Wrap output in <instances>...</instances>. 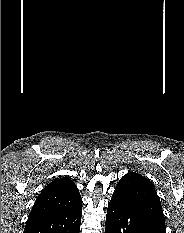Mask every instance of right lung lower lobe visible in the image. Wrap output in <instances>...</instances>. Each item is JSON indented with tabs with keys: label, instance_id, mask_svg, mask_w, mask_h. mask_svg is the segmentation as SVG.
I'll return each instance as SVG.
<instances>
[{
	"label": "right lung lower lobe",
	"instance_id": "right-lung-lower-lobe-1",
	"mask_svg": "<svg viewBox=\"0 0 184 233\" xmlns=\"http://www.w3.org/2000/svg\"><path fill=\"white\" fill-rule=\"evenodd\" d=\"M82 210L27 223L24 233H79Z\"/></svg>",
	"mask_w": 184,
	"mask_h": 233
}]
</instances>
